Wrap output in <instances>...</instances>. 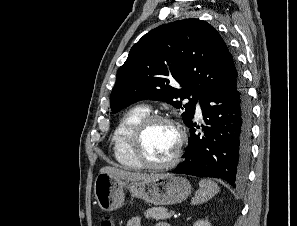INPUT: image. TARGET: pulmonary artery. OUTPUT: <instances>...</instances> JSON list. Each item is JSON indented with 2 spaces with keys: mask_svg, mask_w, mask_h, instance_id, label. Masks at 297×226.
I'll return each mask as SVG.
<instances>
[{
  "mask_svg": "<svg viewBox=\"0 0 297 226\" xmlns=\"http://www.w3.org/2000/svg\"><path fill=\"white\" fill-rule=\"evenodd\" d=\"M196 115L198 117H201L202 116V111H201V108H200V105L197 104V107H196Z\"/></svg>",
  "mask_w": 297,
  "mask_h": 226,
  "instance_id": "obj_1",
  "label": "pulmonary artery"
}]
</instances>
